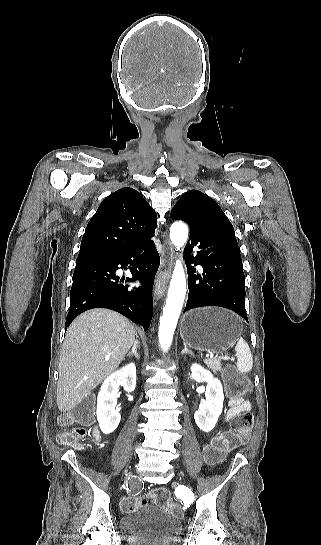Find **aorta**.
Here are the masks:
<instances>
[{
  "instance_id": "aorta-1",
  "label": "aorta",
  "mask_w": 321,
  "mask_h": 545,
  "mask_svg": "<svg viewBox=\"0 0 321 545\" xmlns=\"http://www.w3.org/2000/svg\"><path fill=\"white\" fill-rule=\"evenodd\" d=\"M188 238L187 226L179 221L170 228V239L177 251L184 247ZM186 294V277L181 260H177L172 274L168 297L163 315L160 318L158 331L159 343L163 351H167L172 343L176 325L183 307Z\"/></svg>"
}]
</instances>
